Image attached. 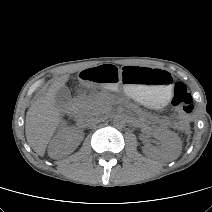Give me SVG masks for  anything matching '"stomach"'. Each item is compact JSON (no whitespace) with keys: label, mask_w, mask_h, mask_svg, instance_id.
Instances as JSON below:
<instances>
[{"label":"stomach","mask_w":212,"mask_h":212,"mask_svg":"<svg viewBox=\"0 0 212 212\" xmlns=\"http://www.w3.org/2000/svg\"><path fill=\"white\" fill-rule=\"evenodd\" d=\"M80 77L85 84L99 83L103 87L127 93L151 108H161L166 104L173 82L170 73L165 70L107 63L94 69L83 68Z\"/></svg>","instance_id":"0dacf381"}]
</instances>
